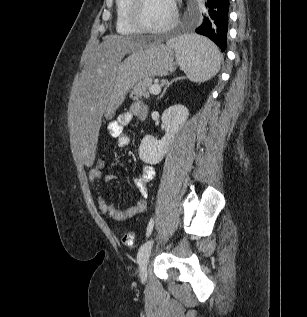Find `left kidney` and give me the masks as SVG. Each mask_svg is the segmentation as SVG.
Masks as SVG:
<instances>
[{"instance_id":"5707ae66","label":"left kidney","mask_w":307,"mask_h":317,"mask_svg":"<svg viewBox=\"0 0 307 317\" xmlns=\"http://www.w3.org/2000/svg\"><path fill=\"white\" fill-rule=\"evenodd\" d=\"M189 116L188 109L183 105H173L162 114V123L165 128V135L161 140L151 135H146L139 146V157L147 164L159 163L165 154L175 134L184 125Z\"/></svg>"}]
</instances>
